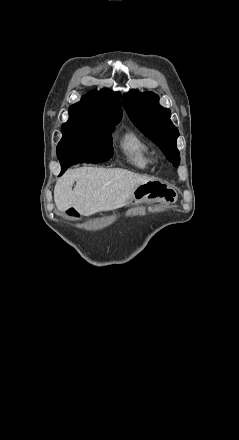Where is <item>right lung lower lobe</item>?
I'll use <instances>...</instances> for the list:
<instances>
[{"instance_id":"obj_1","label":"right lung lower lobe","mask_w":239,"mask_h":440,"mask_svg":"<svg viewBox=\"0 0 239 440\" xmlns=\"http://www.w3.org/2000/svg\"><path fill=\"white\" fill-rule=\"evenodd\" d=\"M113 154V150L108 148L85 146L71 147L58 152L61 163L62 175L67 168L77 163H98L107 161Z\"/></svg>"}]
</instances>
